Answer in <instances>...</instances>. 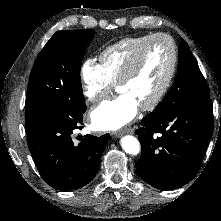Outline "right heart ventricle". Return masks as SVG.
<instances>
[{
	"mask_svg": "<svg viewBox=\"0 0 221 221\" xmlns=\"http://www.w3.org/2000/svg\"><path fill=\"white\" fill-rule=\"evenodd\" d=\"M151 35L127 37L107 46L99 55L100 66L114 84L136 49Z\"/></svg>",
	"mask_w": 221,
	"mask_h": 221,
	"instance_id": "obj_1",
	"label": "right heart ventricle"
}]
</instances>
